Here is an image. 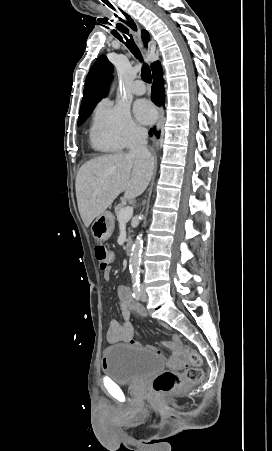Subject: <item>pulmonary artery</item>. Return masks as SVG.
I'll return each instance as SVG.
<instances>
[{"label":"pulmonary artery","mask_w":272,"mask_h":451,"mask_svg":"<svg viewBox=\"0 0 272 451\" xmlns=\"http://www.w3.org/2000/svg\"><path fill=\"white\" fill-rule=\"evenodd\" d=\"M134 84H135L136 88L135 87L132 88V90H131L132 94L138 95V96L144 94V91H142L143 90V85H144L143 80L138 79V80L135 81Z\"/></svg>","instance_id":"pulmonary-artery-1"}]
</instances>
